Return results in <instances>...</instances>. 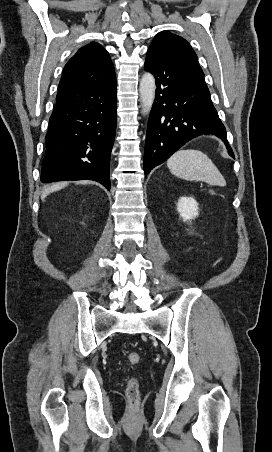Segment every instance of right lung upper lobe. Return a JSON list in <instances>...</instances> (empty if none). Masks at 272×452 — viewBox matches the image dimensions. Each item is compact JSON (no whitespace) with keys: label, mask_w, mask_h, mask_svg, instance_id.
Segmentation results:
<instances>
[{"label":"right lung upper lobe","mask_w":272,"mask_h":452,"mask_svg":"<svg viewBox=\"0 0 272 452\" xmlns=\"http://www.w3.org/2000/svg\"><path fill=\"white\" fill-rule=\"evenodd\" d=\"M114 77L108 52L100 44L91 42L79 49L65 65L56 102L99 87Z\"/></svg>","instance_id":"obj_1"}]
</instances>
